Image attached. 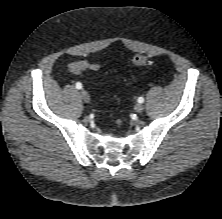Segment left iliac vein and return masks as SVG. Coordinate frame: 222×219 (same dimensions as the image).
Segmentation results:
<instances>
[{"label":"left iliac vein","mask_w":222,"mask_h":219,"mask_svg":"<svg viewBox=\"0 0 222 219\" xmlns=\"http://www.w3.org/2000/svg\"><path fill=\"white\" fill-rule=\"evenodd\" d=\"M134 110H135V112H137V113H141V112L144 110V105L141 104V103H137V104L134 106Z\"/></svg>","instance_id":"obj_1"}]
</instances>
